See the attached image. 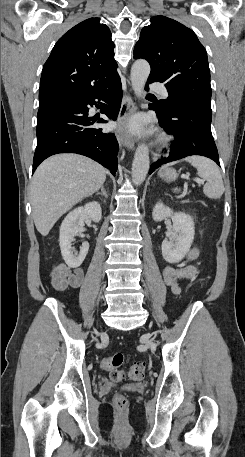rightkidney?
Instances as JSON below:
<instances>
[{"instance_id": "obj_1", "label": "right kidney", "mask_w": 245, "mask_h": 457, "mask_svg": "<svg viewBox=\"0 0 245 457\" xmlns=\"http://www.w3.org/2000/svg\"><path fill=\"white\" fill-rule=\"evenodd\" d=\"M101 216V206L96 200L87 202L85 206L74 208V210H71V212L65 216L60 226L59 245L61 251L68 255L71 269H77V267L82 265L89 249V243H82L80 253L74 251L73 247H71L74 237L78 235L79 229H82V226H84L85 220L99 222Z\"/></svg>"}]
</instances>
